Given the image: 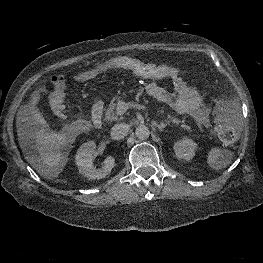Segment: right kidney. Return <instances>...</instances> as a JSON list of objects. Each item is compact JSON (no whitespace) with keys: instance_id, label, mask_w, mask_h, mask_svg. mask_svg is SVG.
<instances>
[{"instance_id":"1","label":"right kidney","mask_w":263,"mask_h":263,"mask_svg":"<svg viewBox=\"0 0 263 263\" xmlns=\"http://www.w3.org/2000/svg\"><path fill=\"white\" fill-rule=\"evenodd\" d=\"M96 150V144L93 141L84 143L77 151L75 162L79 172L89 179L99 180L110 174L115 165V159L108 156L104 160V165L101 169H96L93 166V153Z\"/></svg>"}]
</instances>
